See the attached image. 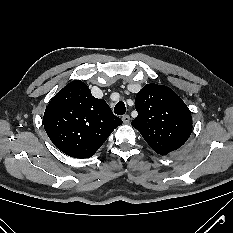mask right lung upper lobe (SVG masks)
Here are the masks:
<instances>
[{"label":"right lung upper lobe","instance_id":"obj_1","mask_svg":"<svg viewBox=\"0 0 233 233\" xmlns=\"http://www.w3.org/2000/svg\"><path fill=\"white\" fill-rule=\"evenodd\" d=\"M43 124L53 144L75 158H89L122 124L103 99L80 80L60 90L46 107Z\"/></svg>","mask_w":233,"mask_h":233}]
</instances>
